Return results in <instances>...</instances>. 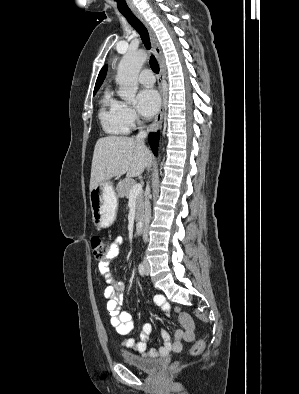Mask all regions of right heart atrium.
<instances>
[{"instance_id": "right-heart-atrium-1", "label": "right heart atrium", "mask_w": 299, "mask_h": 394, "mask_svg": "<svg viewBox=\"0 0 299 394\" xmlns=\"http://www.w3.org/2000/svg\"><path fill=\"white\" fill-rule=\"evenodd\" d=\"M123 116L128 128H133L138 123V116L135 110L130 106L124 105Z\"/></svg>"}]
</instances>
